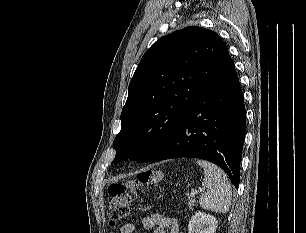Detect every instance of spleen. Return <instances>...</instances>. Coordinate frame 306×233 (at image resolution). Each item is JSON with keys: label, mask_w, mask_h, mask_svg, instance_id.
Returning a JSON list of instances; mask_svg holds the SVG:
<instances>
[{"label": "spleen", "mask_w": 306, "mask_h": 233, "mask_svg": "<svg viewBox=\"0 0 306 233\" xmlns=\"http://www.w3.org/2000/svg\"><path fill=\"white\" fill-rule=\"evenodd\" d=\"M197 164L204 169L202 186L206 191L200 196L202 208L226 214L232 199V190L225 172L210 162L197 160Z\"/></svg>", "instance_id": "3e777b00"}]
</instances>
